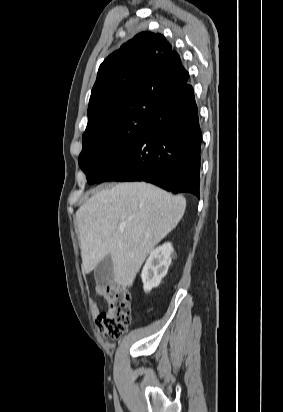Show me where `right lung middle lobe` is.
<instances>
[{"label":"right lung middle lobe","mask_w":283,"mask_h":412,"mask_svg":"<svg viewBox=\"0 0 283 412\" xmlns=\"http://www.w3.org/2000/svg\"><path fill=\"white\" fill-rule=\"evenodd\" d=\"M162 107L163 104L160 102L135 104L107 117L83 134V149L78 162L89 184H94L128 151Z\"/></svg>","instance_id":"right-lung-middle-lobe-1"}]
</instances>
